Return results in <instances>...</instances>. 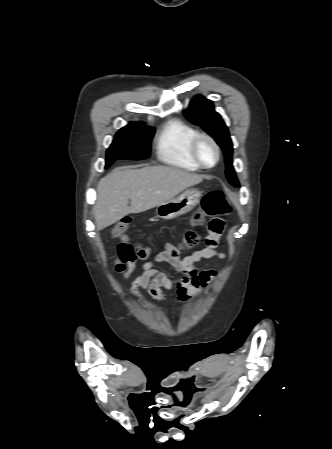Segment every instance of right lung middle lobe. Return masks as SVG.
<instances>
[{"label":"right lung middle lobe","instance_id":"dd1d6c3e","mask_svg":"<svg viewBox=\"0 0 332 449\" xmlns=\"http://www.w3.org/2000/svg\"><path fill=\"white\" fill-rule=\"evenodd\" d=\"M154 128L143 123H130L120 129L107 150L106 167L115 160H141L149 157Z\"/></svg>","mask_w":332,"mask_h":449}]
</instances>
